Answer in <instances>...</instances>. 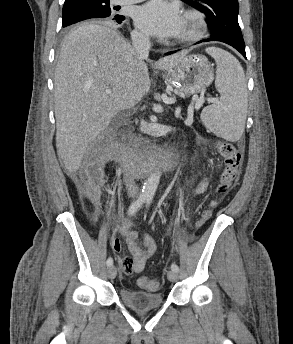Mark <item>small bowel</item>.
I'll return each mask as SVG.
<instances>
[{
	"instance_id": "c3829d8e",
	"label": "small bowel",
	"mask_w": 293,
	"mask_h": 344,
	"mask_svg": "<svg viewBox=\"0 0 293 344\" xmlns=\"http://www.w3.org/2000/svg\"><path fill=\"white\" fill-rule=\"evenodd\" d=\"M211 176L204 177L201 182L193 189V194L203 193L209 186ZM86 193L95 208L99 206V199L95 189L92 186L86 187ZM119 233L125 239L130 257L120 255L123 250L122 241L119 237L111 238V248L118 253L116 261L120 270L126 275L139 274L144 270L146 261L155 253L156 242L151 235L139 237L138 233L132 229L130 221H124L120 226Z\"/></svg>"
}]
</instances>
